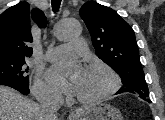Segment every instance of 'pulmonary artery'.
I'll return each instance as SVG.
<instances>
[{"label":"pulmonary artery","mask_w":165,"mask_h":120,"mask_svg":"<svg viewBox=\"0 0 165 120\" xmlns=\"http://www.w3.org/2000/svg\"><path fill=\"white\" fill-rule=\"evenodd\" d=\"M86 50L87 47L84 41L74 40L69 44H63L48 49L46 58L50 61H56L72 55H82Z\"/></svg>","instance_id":"e3ab8cb5"}]
</instances>
